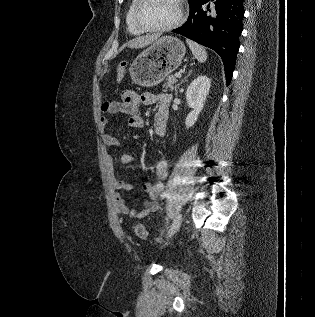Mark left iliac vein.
<instances>
[{
    "label": "left iliac vein",
    "instance_id": "left-iliac-vein-1",
    "mask_svg": "<svg viewBox=\"0 0 315 317\" xmlns=\"http://www.w3.org/2000/svg\"><path fill=\"white\" fill-rule=\"evenodd\" d=\"M181 223H182V215L177 214L174 217V219H173V221H172V223L167 231L166 237L169 238L172 235H174L177 232V230L179 229Z\"/></svg>",
    "mask_w": 315,
    "mask_h": 317
}]
</instances>
